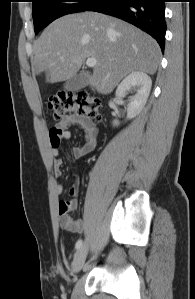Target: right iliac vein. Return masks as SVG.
<instances>
[{"mask_svg":"<svg viewBox=\"0 0 195 299\" xmlns=\"http://www.w3.org/2000/svg\"><path fill=\"white\" fill-rule=\"evenodd\" d=\"M87 252H88L87 243L83 244L76 252L72 262V268H71V273L73 275L77 274L82 269L87 256Z\"/></svg>","mask_w":195,"mask_h":299,"instance_id":"obj_1","label":"right iliac vein"}]
</instances>
